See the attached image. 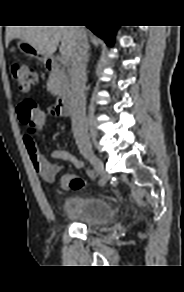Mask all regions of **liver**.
Masks as SVG:
<instances>
[{
  "mask_svg": "<svg viewBox=\"0 0 184 292\" xmlns=\"http://www.w3.org/2000/svg\"><path fill=\"white\" fill-rule=\"evenodd\" d=\"M76 26H9L6 29V44L18 38L51 57L61 41L60 53L71 59L77 42Z\"/></svg>",
  "mask_w": 184,
  "mask_h": 292,
  "instance_id": "6515ba94",
  "label": "liver"
}]
</instances>
